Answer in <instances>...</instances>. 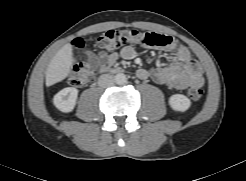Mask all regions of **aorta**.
<instances>
[{
  "label": "aorta",
  "instance_id": "1",
  "mask_svg": "<svg viewBox=\"0 0 246 181\" xmlns=\"http://www.w3.org/2000/svg\"><path fill=\"white\" fill-rule=\"evenodd\" d=\"M114 79H115L116 84L118 85H123L127 81L126 75L123 73L116 74Z\"/></svg>",
  "mask_w": 246,
  "mask_h": 181
}]
</instances>
